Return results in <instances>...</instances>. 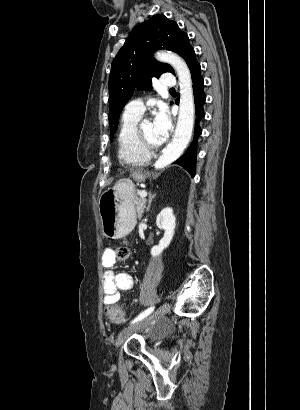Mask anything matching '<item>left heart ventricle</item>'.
Here are the masks:
<instances>
[{
	"label": "left heart ventricle",
	"mask_w": 300,
	"mask_h": 410,
	"mask_svg": "<svg viewBox=\"0 0 300 410\" xmlns=\"http://www.w3.org/2000/svg\"><path fill=\"white\" fill-rule=\"evenodd\" d=\"M143 132L147 138V140L152 144H159V140L155 134L153 122L151 120H146L143 123Z\"/></svg>",
	"instance_id": "left-heart-ventricle-1"
}]
</instances>
